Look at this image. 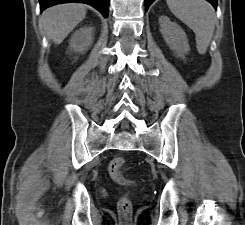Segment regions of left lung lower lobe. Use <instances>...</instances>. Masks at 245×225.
Returning a JSON list of instances; mask_svg holds the SVG:
<instances>
[{
	"instance_id": "obj_1",
	"label": "left lung lower lobe",
	"mask_w": 245,
	"mask_h": 225,
	"mask_svg": "<svg viewBox=\"0 0 245 225\" xmlns=\"http://www.w3.org/2000/svg\"><path fill=\"white\" fill-rule=\"evenodd\" d=\"M208 2H210L214 8L216 9L217 7V0H207ZM154 2V0H145V10L147 11L149 6L151 5V3Z\"/></svg>"
}]
</instances>
